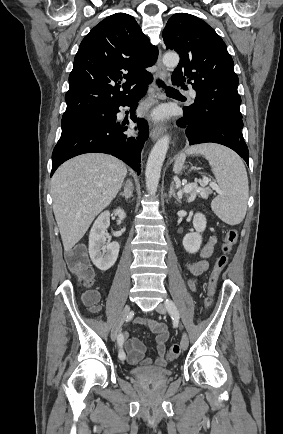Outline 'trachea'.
I'll return each mask as SVG.
<instances>
[{"mask_svg": "<svg viewBox=\"0 0 283 434\" xmlns=\"http://www.w3.org/2000/svg\"><path fill=\"white\" fill-rule=\"evenodd\" d=\"M157 84L162 87H164V89L166 90V94L168 95H173V94H180V92L172 87H167L162 81L158 80Z\"/></svg>", "mask_w": 283, "mask_h": 434, "instance_id": "3493384b", "label": "trachea"}]
</instances>
